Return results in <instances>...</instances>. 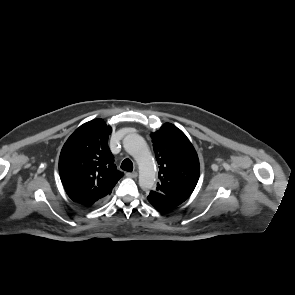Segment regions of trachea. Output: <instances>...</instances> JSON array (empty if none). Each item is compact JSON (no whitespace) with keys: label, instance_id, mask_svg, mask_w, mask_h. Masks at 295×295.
Wrapping results in <instances>:
<instances>
[{"label":"trachea","instance_id":"3493384b","mask_svg":"<svg viewBox=\"0 0 295 295\" xmlns=\"http://www.w3.org/2000/svg\"><path fill=\"white\" fill-rule=\"evenodd\" d=\"M121 169L127 172H132L133 171V163L130 159L126 158L123 160L121 163Z\"/></svg>","mask_w":295,"mask_h":295}]
</instances>
